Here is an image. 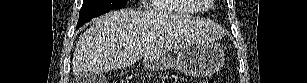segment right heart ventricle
I'll return each mask as SVG.
<instances>
[{
	"mask_svg": "<svg viewBox=\"0 0 307 83\" xmlns=\"http://www.w3.org/2000/svg\"><path fill=\"white\" fill-rule=\"evenodd\" d=\"M154 9L165 15L197 13L195 5L188 0H154Z\"/></svg>",
	"mask_w": 307,
	"mask_h": 83,
	"instance_id": "1",
	"label": "right heart ventricle"
}]
</instances>
